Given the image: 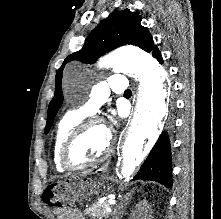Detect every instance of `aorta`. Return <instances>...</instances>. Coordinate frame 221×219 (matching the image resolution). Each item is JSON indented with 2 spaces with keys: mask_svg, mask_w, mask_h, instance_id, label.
Here are the masks:
<instances>
[{
  "mask_svg": "<svg viewBox=\"0 0 221 219\" xmlns=\"http://www.w3.org/2000/svg\"><path fill=\"white\" fill-rule=\"evenodd\" d=\"M98 64L101 68L111 67L131 73L140 81L136 110L120 156V174L122 177L128 178L143 162L152 143L157 138L159 125L167 116V76L156 59L133 46L117 49L101 58ZM78 76V69L66 68L63 77L65 87L76 81ZM146 138L149 141L143 150Z\"/></svg>",
  "mask_w": 221,
  "mask_h": 219,
  "instance_id": "aorta-1",
  "label": "aorta"
}]
</instances>
